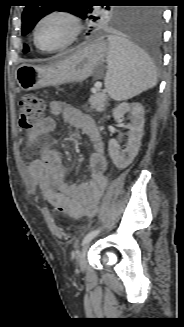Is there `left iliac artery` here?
I'll return each mask as SVG.
<instances>
[{
    "label": "left iliac artery",
    "instance_id": "44dca946",
    "mask_svg": "<svg viewBox=\"0 0 184 327\" xmlns=\"http://www.w3.org/2000/svg\"><path fill=\"white\" fill-rule=\"evenodd\" d=\"M101 231V229H95L90 231L88 234H86V236L83 239V244L89 242L90 240H92L95 236H97L99 234V232Z\"/></svg>",
    "mask_w": 184,
    "mask_h": 327
}]
</instances>
